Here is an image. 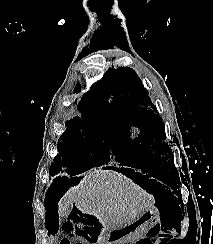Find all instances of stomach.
I'll use <instances>...</instances> for the list:
<instances>
[{"label":"stomach","instance_id":"stomach-1","mask_svg":"<svg viewBox=\"0 0 213 244\" xmlns=\"http://www.w3.org/2000/svg\"><path fill=\"white\" fill-rule=\"evenodd\" d=\"M161 221L155 208L140 211L134 218L118 223L106 221L99 223V228H111L113 234H106V239H94V244H127L129 238L137 237L147 232Z\"/></svg>","mask_w":213,"mask_h":244}]
</instances>
